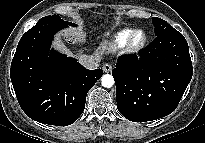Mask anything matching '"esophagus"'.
I'll return each mask as SVG.
<instances>
[{
	"label": "esophagus",
	"instance_id": "obj_1",
	"mask_svg": "<svg viewBox=\"0 0 205 143\" xmlns=\"http://www.w3.org/2000/svg\"><path fill=\"white\" fill-rule=\"evenodd\" d=\"M102 69L104 72L109 73L112 71V65L109 63H106L103 65Z\"/></svg>",
	"mask_w": 205,
	"mask_h": 143
}]
</instances>
